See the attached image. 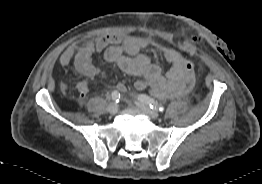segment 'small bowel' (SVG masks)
<instances>
[{"instance_id":"c3829d8e","label":"small bowel","mask_w":262,"mask_h":184,"mask_svg":"<svg viewBox=\"0 0 262 184\" xmlns=\"http://www.w3.org/2000/svg\"><path fill=\"white\" fill-rule=\"evenodd\" d=\"M191 42L196 45H205L206 37L199 34L191 35ZM155 43L150 39L132 35L107 34L96 41H89L81 47L69 46L60 56L59 62L65 66L74 63L75 69L85 77L92 78L102 76L103 73L92 64L95 53H104L107 62L115 64L123 72L142 76L134 83V87L141 91L150 88L152 93L159 98L179 96L180 88L186 78L185 66L189 62L181 53L175 50V56L163 55L171 64L166 75L162 74L160 67L154 64L150 58L142 53ZM79 100L83 101L89 92V86L85 81L77 84Z\"/></svg>"}]
</instances>
